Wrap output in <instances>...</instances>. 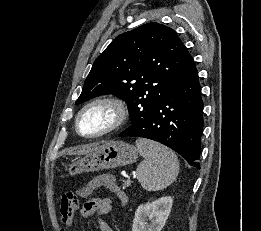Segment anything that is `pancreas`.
Here are the masks:
<instances>
[{
	"label": "pancreas",
	"instance_id": "pancreas-1",
	"mask_svg": "<svg viewBox=\"0 0 261 231\" xmlns=\"http://www.w3.org/2000/svg\"><path fill=\"white\" fill-rule=\"evenodd\" d=\"M130 184H127L126 182H125V184H124V187H127V186H129Z\"/></svg>",
	"mask_w": 261,
	"mask_h": 231
}]
</instances>
